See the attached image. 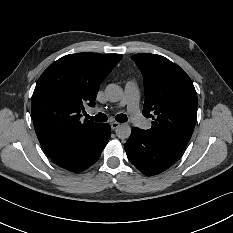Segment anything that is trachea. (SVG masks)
I'll use <instances>...</instances> for the list:
<instances>
[{
  "label": "trachea",
  "instance_id": "obj_1",
  "mask_svg": "<svg viewBox=\"0 0 233 233\" xmlns=\"http://www.w3.org/2000/svg\"><path fill=\"white\" fill-rule=\"evenodd\" d=\"M87 119L94 120L96 122H105L107 121V116L103 113H98L95 116L85 115ZM115 120L118 122H127L128 117L124 114H118L115 116Z\"/></svg>",
  "mask_w": 233,
  "mask_h": 233
}]
</instances>
